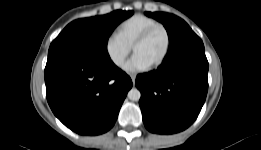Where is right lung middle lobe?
<instances>
[{
  "label": "right lung middle lobe",
  "mask_w": 261,
  "mask_h": 150,
  "mask_svg": "<svg viewBox=\"0 0 261 150\" xmlns=\"http://www.w3.org/2000/svg\"><path fill=\"white\" fill-rule=\"evenodd\" d=\"M132 14L133 11L116 10L107 15L71 22L51 43L48 59L54 57L110 59L107 52L108 38L115 27Z\"/></svg>",
  "instance_id": "1"
}]
</instances>
